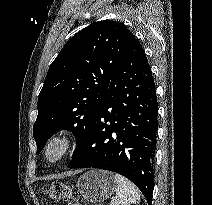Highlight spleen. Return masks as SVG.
Instances as JSON below:
<instances>
[{"mask_svg": "<svg viewBox=\"0 0 212 205\" xmlns=\"http://www.w3.org/2000/svg\"><path fill=\"white\" fill-rule=\"evenodd\" d=\"M116 197H113L110 205H131L140 202V192L136 186L120 174H115Z\"/></svg>", "mask_w": 212, "mask_h": 205, "instance_id": "3e777b00", "label": "spleen"}]
</instances>
